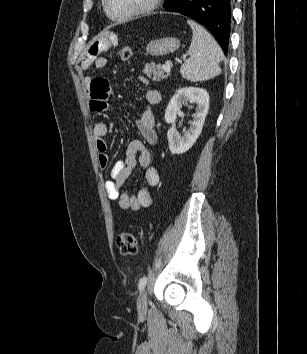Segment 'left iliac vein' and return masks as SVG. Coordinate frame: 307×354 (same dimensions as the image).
Segmentation results:
<instances>
[{"instance_id": "4c4485c4", "label": "left iliac vein", "mask_w": 307, "mask_h": 354, "mask_svg": "<svg viewBox=\"0 0 307 354\" xmlns=\"http://www.w3.org/2000/svg\"><path fill=\"white\" fill-rule=\"evenodd\" d=\"M147 292L145 290L141 291L138 298V310L140 314H145L147 312Z\"/></svg>"}]
</instances>
